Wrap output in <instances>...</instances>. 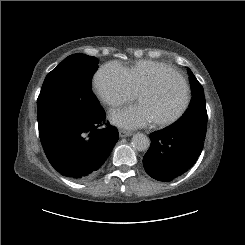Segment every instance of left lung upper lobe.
<instances>
[{
  "mask_svg": "<svg viewBox=\"0 0 245 245\" xmlns=\"http://www.w3.org/2000/svg\"><path fill=\"white\" fill-rule=\"evenodd\" d=\"M188 70L193 89L191 103L183 116L167 128L172 131L190 132L205 139L207 111L204 92L201 84L198 82L192 71L190 69Z\"/></svg>",
  "mask_w": 245,
  "mask_h": 245,
  "instance_id": "left-lung-upper-lobe-1",
  "label": "left lung upper lobe"
}]
</instances>
